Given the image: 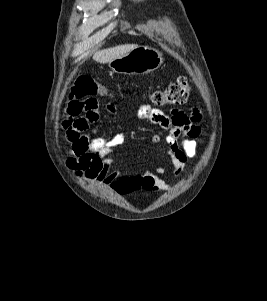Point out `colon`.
Wrapping results in <instances>:
<instances>
[{
  "instance_id": "obj_1",
  "label": "colon",
  "mask_w": 267,
  "mask_h": 301,
  "mask_svg": "<svg viewBox=\"0 0 267 301\" xmlns=\"http://www.w3.org/2000/svg\"><path fill=\"white\" fill-rule=\"evenodd\" d=\"M190 86L185 78H179L165 88L151 93L150 101L156 106L182 105L190 94ZM107 94L106 87L90 76H80L72 84L70 99L96 98Z\"/></svg>"
}]
</instances>
